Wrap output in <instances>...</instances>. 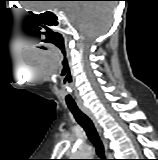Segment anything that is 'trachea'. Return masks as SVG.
<instances>
[{"mask_svg": "<svg viewBox=\"0 0 158 160\" xmlns=\"http://www.w3.org/2000/svg\"><path fill=\"white\" fill-rule=\"evenodd\" d=\"M68 108L74 115L76 121L83 127L85 130L89 140L93 143V145L96 148V153L101 159L97 160H106L105 154H104V146L102 142L100 141L96 128L91 121V119L83 113L77 105H68Z\"/></svg>", "mask_w": 158, "mask_h": 160, "instance_id": "trachea-1", "label": "trachea"}]
</instances>
